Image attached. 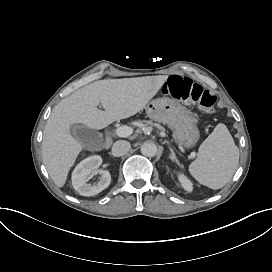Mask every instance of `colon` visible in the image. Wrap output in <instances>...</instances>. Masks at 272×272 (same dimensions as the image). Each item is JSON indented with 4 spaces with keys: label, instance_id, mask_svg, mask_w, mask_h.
<instances>
[{
    "label": "colon",
    "instance_id": "5ec220e1",
    "mask_svg": "<svg viewBox=\"0 0 272 272\" xmlns=\"http://www.w3.org/2000/svg\"><path fill=\"white\" fill-rule=\"evenodd\" d=\"M165 94L180 103L196 105L208 113L215 110L216 97L188 77L170 76L165 85Z\"/></svg>",
    "mask_w": 272,
    "mask_h": 272
}]
</instances>
